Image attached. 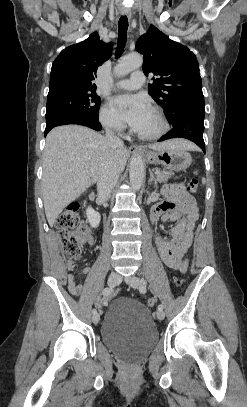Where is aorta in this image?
<instances>
[{"label":"aorta","instance_id":"obj_1","mask_svg":"<svg viewBox=\"0 0 247 407\" xmlns=\"http://www.w3.org/2000/svg\"><path fill=\"white\" fill-rule=\"evenodd\" d=\"M143 58L133 53L123 57L114 68L115 75L121 77L141 67ZM130 184L134 190H140L144 182V164L139 156L132 157L129 168Z\"/></svg>","mask_w":247,"mask_h":407}]
</instances>
